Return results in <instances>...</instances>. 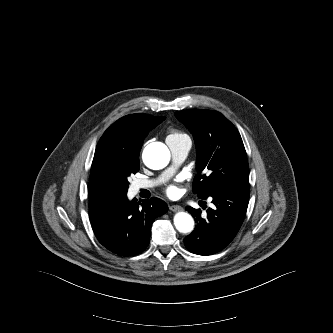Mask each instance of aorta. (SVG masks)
Listing matches in <instances>:
<instances>
[{
    "mask_svg": "<svg viewBox=\"0 0 333 333\" xmlns=\"http://www.w3.org/2000/svg\"><path fill=\"white\" fill-rule=\"evenodd\" d=\"M143 162L153 170H159L167 166L170 161V151L160 142L147 145L142 154ZM174 225L180 233H190L194 229V220L186 212H178L174 216Z\"/></svg>",
    "mask_w": 333,
    "mask_h": 333,
    "instance_id": "obj_1",
    "label": "aorta"
}]
</instances>
